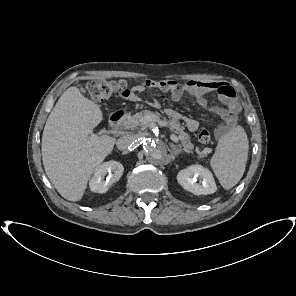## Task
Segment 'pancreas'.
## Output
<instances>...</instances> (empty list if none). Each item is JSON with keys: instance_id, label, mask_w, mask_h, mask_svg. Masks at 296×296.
<instances>
[{"instance_id": "obj_1", "label": "pancreas", "mask_w": 296, "mask_h": 296, "mask_svg": "<svg viewBox=\"0 0 296 296\" xmlns=\"http://www.w3.org/2000/svg\"><path fill=\"white\" fill-rule=\"evenodd\" d=\"M146 115H155L157 117L159 116L158 113L151 112L149 110L141 111L140 113H136L133 116L127 115L123 121V127L131 131L139 130L140 126H142L141 119ZM160 124L163 126H167L172 133L178 135V139L181 142L180 145L183 147L185 152H192L194 147L193 144L190 142V136L184 131V128L180 125V122L178 120L163 118L160 121ZM199 154L200 156L205 155L203 151L199 152Z\"/></svg>"}]
</instances>
